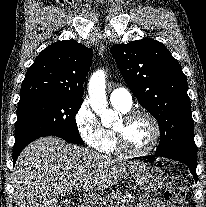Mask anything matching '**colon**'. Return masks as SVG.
Listing matches in <instances>:
<instances>
[{
    "label": "colon",
    "instance_id": "1",
    "mask_svg": "<svg viewBox=\"0 0 206 207\" xmlns=\"http://www.w3.org/2000/svg\"><path fill=\"white\" fill-rule=\"evenodd\" d=\"M163 197L168 207H184L185 189L182 180L178 177L172 178ZM63 207H76L75 201Z\"/></svg>",
    "mask_w": 206,
    "mask_h": 207
}]
</instances>
